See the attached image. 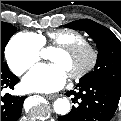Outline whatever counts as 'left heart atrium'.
<instances>
[{"instance_id":"left-heart-atrium-1","label":"left heart atrium","mask_w":121,"mask_h":121,"mask_svg":"<svg viewBox=\"0 0 121 121\" xmlns=\"http://www.w3.org/2000/svg\"><path fill=\"white\" fill-rule=\"evenodd\" d=\"M66 78V73L59 66L40 64L25 77L24 86L29 90L54 92L64 86Z\"/></svg>"}]
</instances>
